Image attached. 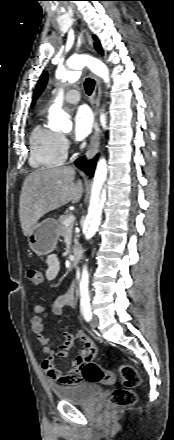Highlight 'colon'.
<instances>
[{
    "instance_id": "5ec220e1",
    "label": "colon",
    "mask_w": 174,
    "mask_h": 440,
    "mask_svg": "<svg viewBox=\"0 0 174 440\" xmlns=\"http://www.w3.org/2000/svg\"><path fill=\"white\" fill-rule=\"evenodd\" d=\"M27 276L29 280L39 285L43 282V272L38 266H30L27 269ZM44 370L47 369L46 364L43 365ZM119 372L124 384V388L116 389L109 399V405L113 409H120L132 406L136 403L137 395L132 390L141 385V377L137 369L129 364H122ZM81 377L90 383H106L112 384L115 382V375L111 371L101 369L93 360H88L82 368Z\"/></svg>"
}]
</instances>
